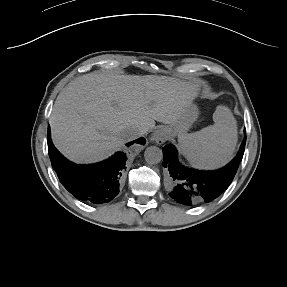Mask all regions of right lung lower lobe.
Returning a JSON list of instances; mask_svg holds the SVG:
<instances>
[{
    "mask_svg": "<svg viewBox=\"0 0 287 287\" xmlns=\"http://www.w3.org/2000/svg\"><path fill=\"white\" fill-rule=\"evenodd\" d=\"M134 143L144 145L146 140L141 137L127 146ZM48 153L61 183L76 198L87 203L101 204L118 195L120 178L126 168V155L123 152L100 163L76 165L66 160L54 147L48 128Z\"/></svg>",
    "mask_w": 287,
    "mask_h": 287,
    "instance_id": "right-lung-lower-lobe-1",
    "label": "right lung lower lobe"
}]
</instances>
